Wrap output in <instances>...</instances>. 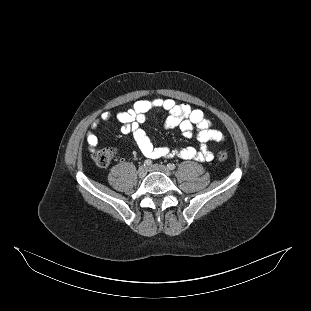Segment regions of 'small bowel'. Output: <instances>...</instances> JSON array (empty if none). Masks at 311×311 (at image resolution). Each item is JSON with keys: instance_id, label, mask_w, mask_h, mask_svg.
<instances>
[{"instance_id": "obj_1", "label": "small bowel", "mask_w": 311, "mask_h": 311, "mask_svg": "<svg viewBox=\"0 0 311 311\" xmlns=\"http://www.w3.org/2000/svg\"><path fill=\"white\" fill-rule=\"evenodd\" d=\"M159 109L168 112L165 120L166 128H178L187 138L192 136L194 129H197L200 148L173 149L167 146H155L142 129L141 124L146 122L151 112ZM114 118L121 124L120 131L122 133L132 134L138 148L148 160L178 157L184 160L211 161L214 155L209 150L207 143L224 140L222 132L212 128L210 120L206 118L202 110L193 109L188 104H178L173 99L154 98L137 101L132 108L116 114L111 112L102 113L91 123L86 134V142L90 150H94L98 144L96 130L99 124Z\"/></svg>"}]
</instances>
